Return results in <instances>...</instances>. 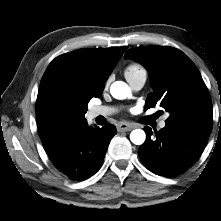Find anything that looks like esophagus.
Masks as SVG:
<instances>
[{"label":"esophagus","mask_w":221,"mask_h":221,"mask_svg":"<svg viewBox=\"0 0 221 221\" xmlns=\"http://www.w3.org/2000/svg\"><path fill=\"white\" fill-rule=\"evenodd\" d=\"M134 128V126L130 125V124H127V123H119L117 125V130L119 132H126V131H130Z\"/></svg>","instance_id":"obj_1"}]
</instances>
